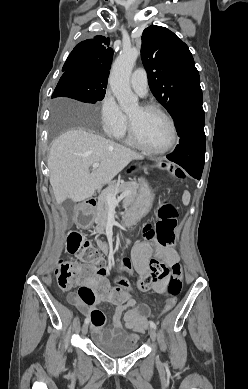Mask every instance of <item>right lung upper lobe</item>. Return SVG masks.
<instances>
[{"label": "right lung upper lobe", "instance_id": "right-lung-upper-lobe-1", "mask_svg": "<svg viewBox=\"0 0 248 389\" xmlns=\"http://www.w3.org/2000/svg\"><path fill=\"white\" fill-rule=\"evenodd\" d=\"M109 43V38L104 36L80 42L68 56L62 71H83L91 79L107 83L113 57Z\"/></svg>", "mask_w": 248, "mask_h": 389}]
</instances>
